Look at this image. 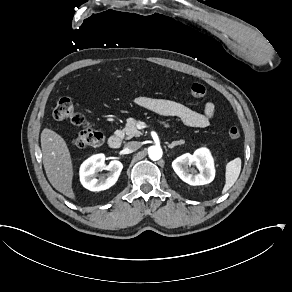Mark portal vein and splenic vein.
<instances>
[{"instance_id":"obj_1","label":"portal vein and splenic vein","mask_w":292,"mask_h":292,"mask_svg":"<svg viewBox=\"0 0 292 292\" xmlns=\"http://www.w3.org/2000/svg\"><path fill=\"white\" fill-rule=\"evenodd\" d=\"M150 126H148V125H145V124H141V125H138L137 126V128L139 129V130H142V129H144V128H149Z\"/></svg>"}]
</instances>
